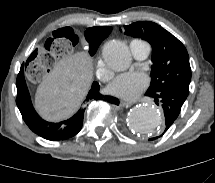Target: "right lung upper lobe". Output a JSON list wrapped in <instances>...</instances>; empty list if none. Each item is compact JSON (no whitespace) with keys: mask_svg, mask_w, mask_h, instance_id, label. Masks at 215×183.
<instances>
[{"mask_svg":"<svg viewBox=\"0 0 215 183\" xmlns=\"http://www.w3.org/2000/svg\"><path fill=\"white\" fill-rule=\"evenodd\" d=\"M65 29L70 30V28H65ZM93 30L97 31L98 33H100L102 36H104L106 38L112 31V28L109 26L93 27Z\"/></svg>","mask_w":215,"mask_h":183,"instance_id":"cb5924a9","label":"right lung upper lobe"}]
</instances>
